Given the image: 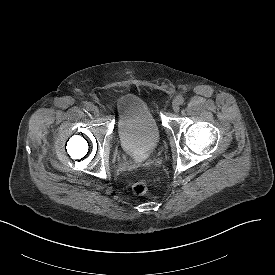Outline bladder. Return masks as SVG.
I'll return each instance as SVG.
<instances>
[{
	"instance_id": "bladder-1",
	"label": "bladder",
	"mask_w": 275,
	"mask_h": 275,
	"mask_svg": "<svg viewBox=\"0 0 275 275\" xmlns=\"http://www.w3.org/2000/svg\"><path fill=\"white\" fill-rule=\"evenodd\" d=\"M117 133L123 151L137 160L148 158L156 149L160 132L146 102L134 94L117 100Z\"/></svg>"
}]
</instances>
